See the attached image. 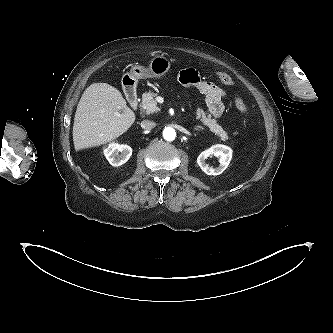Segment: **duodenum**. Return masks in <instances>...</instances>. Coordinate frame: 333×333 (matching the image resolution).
Returning <instances> with one entry per match:
<instances>
[{"instance_id": "obj_1", "label": "duodenum", "mask_w": 333, "mask_h": 333, "mask_svg": "<svg viewBox=\"0 0 333 333\" xmlns=\"http://www.w3.org/2000/svg\"><path fill=\"white\" fill-rule=\"evenodd\" d=\"M124 91L131 107L136 110L139 106V103H138L136 85L133 80L129 78L125 79Z\"/></svg>"}]
</instances>
